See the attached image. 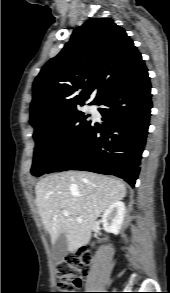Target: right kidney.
<instances>
[{"label":"right kidney","mask_w":170,"mask_h":293,"mask_svg":"<svg viewBox=\"0 0 170 293\" xmlns=\"http://www.w3.org/2000/svg\"><path fill=\"white\" fill-rule=\"evenodd\" d=\"M125 204L117 201L109 206L102 215V224L106 232L117 235L125 217Z\"/></svg>","instance_id":"right-kidney-1"}]
</instances>
